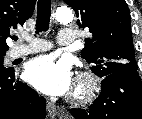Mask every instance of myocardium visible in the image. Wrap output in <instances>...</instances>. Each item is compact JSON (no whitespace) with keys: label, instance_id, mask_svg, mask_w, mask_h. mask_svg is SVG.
I'll list each match as a JSON object with an SVG mask.
<instances>
[{"label":"myocardium","instance_id":"1","mask_svg":"<svg viewBox=\"0 0 142 119\" xmlns=\"http://www.w3.org/2000/svg\"><path fill=\"white\" fill-rule=\"evenodd\" d=\"M99 92V80L90 72L80 73L75 81L73 90L69 95V99L76 105L90 104Z\"/></svg>","mask_w":142,"mask_h":119}]
</instances>
